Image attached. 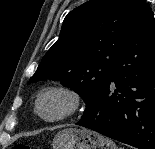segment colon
Instances as JSON below:
<instances>
[{"label":"colon","instance_id":"colon-1","mask_svg":"<svg viewBox=\"0 0 155 149\" xmlns=\"http://www.w3.org/2000/svg\"><path fill=\"white\" fill-rule=\"evenodd\" d=\"M32 147L26 144H17L14 149H31Z\"/></svg>","mask_w":155,"mask_h":149}]
</instances>
